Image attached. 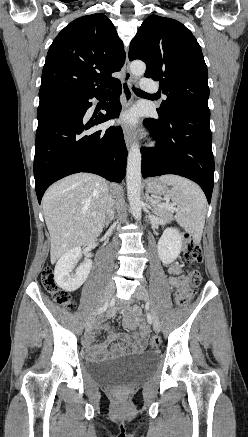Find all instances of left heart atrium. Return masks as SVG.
<instances>
[{"label":"left heart atrium","mask_w":248,"mask_h":437,"mask_svg":"<svg viewBox=\"0 0 248 437\" xmlns=\"http://www.w3.org/2000/svg\"><path fill=\"white\" fill-rule=\"evenodd\" d=\"M134 120H135V115L132 112L128 114H124L120 119V121L124 124L132 123L134 122Z\"/></svg>","instance_id":"39dd6f15"}]
</instances>
